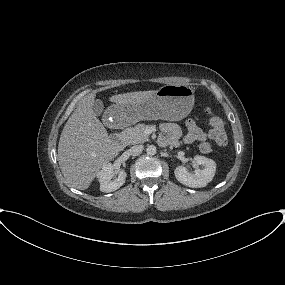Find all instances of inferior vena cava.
I'll use <instances>...</instances> for the list:
<instances>
[{"instance_id":"602c4592","label":"inferior vena cava","mask_w":285,"mask_h":285,"mask_svg":"<svg viewBox=\"0 0 285 285\" xmlns=\"http://www.w3.org/2000/svg\"><path fill=\"white\" fill-rule=\"evenodd\" d=\"M143 149H144L143 145H134L130 148V153L133 156H137L142 153Z\"/></svg>"}]
</instances>
